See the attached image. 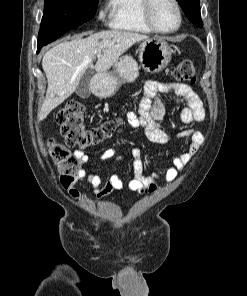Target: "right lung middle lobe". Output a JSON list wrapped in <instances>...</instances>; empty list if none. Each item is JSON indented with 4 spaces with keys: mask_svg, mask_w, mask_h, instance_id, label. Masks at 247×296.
Wrapping results in <instances>:
<instances>
[{
    "mask_svg": "<svg viewBox=\"0 0 247 296\" xmlns=\"http://www.w3.org/2000/svg\"><path fill=\"white\" fill-rule=\"evenodd\" d=\"M97 5L98 0H45L38 51L70 29L91 20Z\"/></svg>",
    "mask_w": 247,
    "mask_h": 296,
    "instance_id": "1",
    "label": "right lung middle lobe"
}]
</instances>
